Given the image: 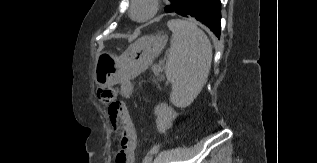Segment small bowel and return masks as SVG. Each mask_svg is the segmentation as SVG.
I'll return each instance as SVG.
<instances>
[{
  "instance_id": "obj_1",
  "label": "small bowel",
  "mask_w": 317,
  "mask_h": 163,
  "mask_svg": "<svg viewBox=\"0 0 317 163\" xmlns=\"http://www.w3.org/2000/svg\"><path fill=\"white\" fill-rule=\"evenodd\" d=\"M120 87L125 97L130 96L133 90V85L130 81L122 80L120 82ZM119 132V150L115 155V163H132L136 149V134L128 115L125 116L124 126Z\"/></svg>"
}]
</instances>
